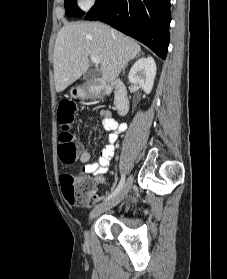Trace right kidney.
I'll return each instance as SVG.
<instances>
[{
    "instance_id": "1",
    "label": "right kidney",
    "mask_w": 227,
    "mask_h": 279,
    "mask_svg": "<svg viewBox=\"0 0 227 279\" xmlns=\"http://www.w3.org/2000/svg\"><path fill=\"white\" fill-rule=\"evenodd\" d=\"M156 69L153 57L140 58L130 69L129 81L133 84H138L146 94H149L153 88Z\"/></svg>"
}]
</instances>
